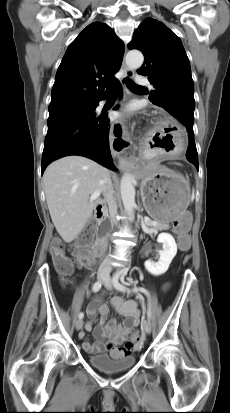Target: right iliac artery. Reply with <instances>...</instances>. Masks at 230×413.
<instances>
[{
  "mask_svg": "<svg viewBox=\"0 0 230 413\" xmlns=\"http://www.w3.org/2000/svg\"><path fill=\"white\" fill-rule=\"evenodd\" d=\"M101 286H102L101 281L95 282L93 287H92V291L93 292H98L100 290ZM78 317H79V319H82L84 317V314L81 312V313H79Z\"/></svg>",
  "mask_w": 230,
  "mask_h": 413,
  "instance_id": "1",
  "label": "right iliac artery"
}]
</instances>
